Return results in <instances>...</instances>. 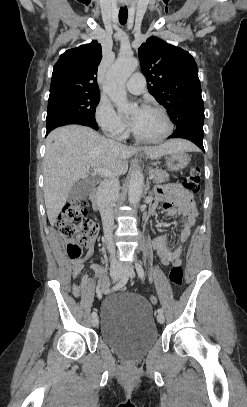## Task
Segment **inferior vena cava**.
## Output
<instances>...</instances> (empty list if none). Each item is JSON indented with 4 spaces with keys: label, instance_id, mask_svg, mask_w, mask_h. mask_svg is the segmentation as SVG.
I'll return each instance as SVG.
<instances>
[{
    "label": "inferior vena cava",
    "instance_id": "inferior-vena-cava-1",
    "mask_svg": "<svg viewBox=\"0 0 247 407\" xmlns=\"http://www.w3.org/2000/svg\"><path fill=\"white\" fill-rule=\"evenodd\" d=\"M119 187V180L115 177H111L101 182L98 189V202L100 206L103 231L112 257V263H117L115 247L112 242V233L114 229L113 206L117 200Z\"/></svg>",
    "mask_w": 247,
    "mask_h": 407
}]
</instances>
